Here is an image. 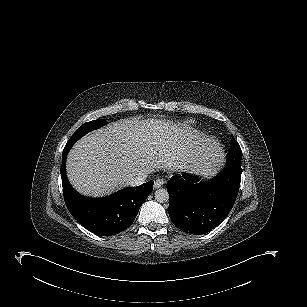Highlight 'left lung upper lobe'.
<instances>
[{
    "instance_id": "left-lung-upper-lobe-1",
    "label": "left lung upper lobe",
    "mask_w": 307,
    "mask_h": 307,
    "mask_svg": "<svg viewBox=\"0 0 307 307\" xmlns=\"http://www.w3.org/2000/svg\"><path fill=\"white\" fill-rule=\"evenodd\" d=\"M230 146H231L230 150L227 154L226 165L237 166L241 168L242 151L238 142L235 140L233 136L230 142Z\"/></svg>"
}]
</instances>
